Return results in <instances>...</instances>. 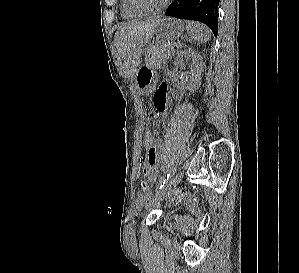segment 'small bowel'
<instances>
[{
  "instance_id": "obj_1",
  "label": "small bowel",
  "mask_w": 299,
  "mask_h": 273,
  "mask_svg": "<svg viewBox=\"0 0 299 273\" xmlns=\"http://www.w3.org/2000/svg\"><path fill=\"white\" fill-rule=\"evenodd\" d=\"M154 105L157 113H165L169 105V97L166 85H161L154 96ZM146 154L143 174L152 182L155 183L158 178V162H157V144L145 145ZM150 195H138V204L142 205Z\"/></svg>"
}]
</instances>
